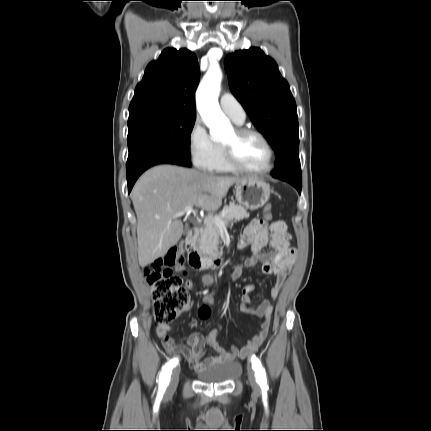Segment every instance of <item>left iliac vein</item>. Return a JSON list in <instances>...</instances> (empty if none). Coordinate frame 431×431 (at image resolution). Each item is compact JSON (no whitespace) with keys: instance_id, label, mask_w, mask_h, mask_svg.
Instances as JSON below:
<instances>
[{"instance_id":"4c4485c4","label":"left iliac vein","mask_w":431,"mask_h":431,"mask_svg":"<svg viewBox=\"0 0 431 431\" xmlns=\"http://www.w3.org/2000/svg\"><path fill=\"white\" fill-rule=\"evenodd\" d=\"M247 374H248V380H249V383H250L252 389L254 391H257L258 390V384L256 381V375L254 373V370L250 366H247Z\"/></svg>"}]
</instances>
